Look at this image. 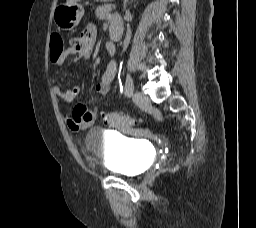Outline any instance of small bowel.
Segmentation results:
<instances>
[{
	"mask_svg": "<svg viewBox=\"0 0 256 228\" xmlns=\"http://www.w3.org/2000/svg\"><path fill=\"white\" fill-rule=\"evenodd\" d=\"M114 21L120 20L117 18H110L111 24ZM96 35V27L89 24L77 38L72 40L71 45L66 48L58 58L51 59L52 63L60 66L70 55H73L76 61L89 59L94 49ZM106 49L111 55L112 59L95 87V91L100 98L105 97L109 93L111 83L117 74V63L114 58L116 47L112 42H108L106 44ZM52 90L54 94L58 95L66 103H72L80 93V87L77 85L62 90L54 79L52 80ZM96 116V106L78 104L74 107L71 115H67L65 119L67 126L71 130L80 131L91 127L96 119Z\"/></svg>",
	"mask_w": 256,
	"mask_h": 228,
	"instance_id": "1",
	"label": "small bowel"
}]
</instances>
